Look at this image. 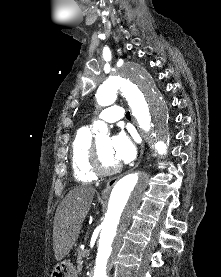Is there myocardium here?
Returning a JSON list of instances; mask_svg holds the SVG:
<instances>
[{"mask_svg": "<svg viewBox=\"0 0 221 277\" xmlns=\"http://www.w3.org/2000/svg\"><path fill=\"white\" fill-rule=\"evenodd\" d=\"M90 167L97 176H110L117 173L121 169V165L119 163L111 168H106L103 166L97 142L92 143L90 153Z\"/></svg>", "mask_w": 221, "mask_h": 277, "instance_id": "myocardium-1", "label": "myocardium"}]
</instances>
